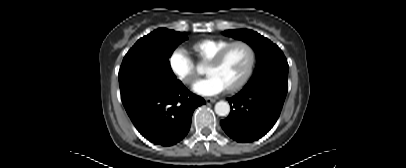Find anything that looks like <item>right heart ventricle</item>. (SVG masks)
I'll return each instance as SVG.
<instances>
[{
	"label": "right heart ventricle",
	"mask_w": 406,
	"mask_h": 168,
	"mask_svg": "<svg viewBox=\"0 0 406 168\" xmlns=\"http://www.w3.org/2000/svg\"><path fill=\"white\" fill-rule=\"evenodd\" d=\"M229 43H231V40L225 38H205L192 43L190 49L200 62L207 63Z\"/></svg>",
	"instance_id": "obj_1"
}]
</instances>
